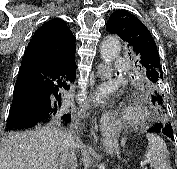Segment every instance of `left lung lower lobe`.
<instances>
[{
	"instance_id": "left-lung-lower-lobe-1",
	"label": "left lung lower lobe",
	"mask_w": 177,
	"mask_h": 169,
	"mask_svg": "<svg viewBox=\"0 0 177 169\" xmlns=\"http://www.w3.org/2000/svg\"><path fill=\"white\" fill-rule=\"evenodd\" d=\"M152 100H153V103L156 105H162L163 103V102L161 103V98L158 96H153ZM148 132L161 133V134L168 136L170 139L174 140V135H173V130H172L171 125L169 126L168 124H165L164 122L156 124L154 127L150 128Z\"/></svg>"
}]
</instances>
